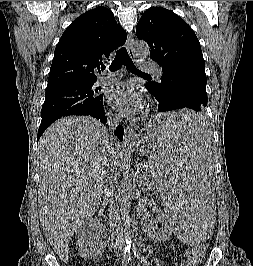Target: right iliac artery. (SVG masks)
<instances>
[{"instance_id": "1", "label": "right iliac artery", "mask_w": 253, "mask_h": 266, "mask_svg": "<svg viewBox=\"0 0 253 266\" xmlns=\"http://www.w3.org/2000/svg\"><path fill=\"white\" fill-rule=\"evenodd\" d=\"M130 259H131L130 248L126 247L124 249V256H123V259H122L121 266H128Z\"/></svg>"}]
</instances>
